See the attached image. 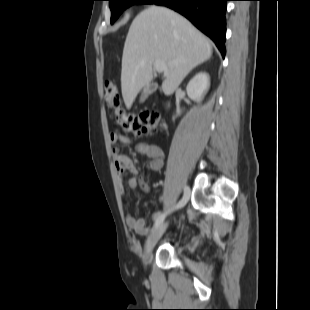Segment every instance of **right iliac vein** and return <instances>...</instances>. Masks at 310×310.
<instances>
[{"label":"right iliac vein","instance_id":"63e3f726","mask_svg":"<svg viewBox=\"0 0 310 310\" xmlns=\"http://www.w3.org/2000/svg\"><path fill=\"white\" fill-rule=\"evenodd\" d=\"M168 227V222L162 223L147 239L144 247V253H143V264L146 266L150 261V256L152 254V251L157 244V242L160 240V238L165 233L166 229Z\"/></svg>","mask_w":310,"mask_h":310}]
</instances>
